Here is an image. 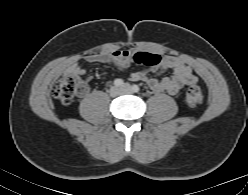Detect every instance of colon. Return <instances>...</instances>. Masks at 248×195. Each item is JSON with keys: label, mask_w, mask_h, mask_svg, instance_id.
I'll return each instance as SVG.
<instances>
[{"label": "colon", "mask_w": 248, "mask_h": 195, "mask_svg": "<svg viewBox=\"0 0 248 195\" xmlns=\"http://www.w3.org/2000/svg\"><path fill=\"white\" fill-rule=\"evenodd\" d=\"M132 61L137 65L153 67L160 62V56L138 51L132 55ZM86 89V85L80 81L77 75L67 74L55 82L52 87V94L62 104L68 105L73 102L76 96L84 94ZM185 100L191 108H196L202 103V90L197 83L190 84L186 91Z\"/></svg>", "instance_id": "5ec220e1"}]
</instances>
